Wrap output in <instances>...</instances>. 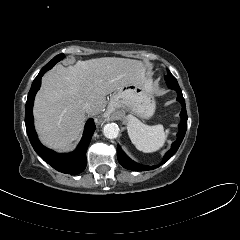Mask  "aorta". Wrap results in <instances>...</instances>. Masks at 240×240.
Returning <instances> with one entry per match:
<instances>
[{
  "label": "aorta",
  "instance_id": "aorta-1",
  "mask_svg": "<svg viewBox=\"0 0 240 240\" xmlns=\"http://www.w3.org/2000/svg\"><path fill=\"white\" fill-rule=\"evenodd\" d=\"M103 134L108 139H115L119 134V127L115 123H108L103 127Z\"/></svg>",
  "mask_w": 240,
  "mask_h": 240
}]
</instances>
